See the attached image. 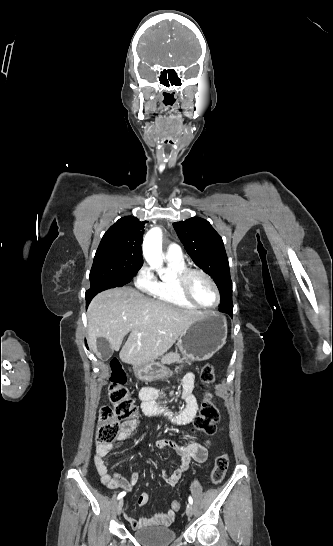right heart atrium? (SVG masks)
I'll return each instance as SVG.
<instances>
[{
	"label": "right heart atrium",
	"mask_w": 333,
	"mask_h": 546,
	"mask_svg": "<svg viewBox=\"0 0 333 546\" xmlns=\"http://www.w3.org/2000/svg\"><path fill=\"white\" fill-rule=\"evenodd\" d=\"M134 285L140 291L149 295H155L158 287V281L152 269L144 264L137 271L134 278Z\"/></svg>",
	"instance_id": "d8ad5b80"
}]
</instances>
